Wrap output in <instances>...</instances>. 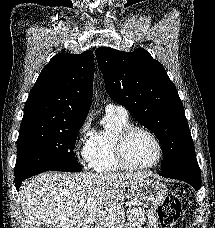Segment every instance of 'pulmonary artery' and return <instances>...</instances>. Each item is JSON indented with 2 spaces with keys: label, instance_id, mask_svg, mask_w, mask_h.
<instances>
[{
  "label": "pulmonary artery",
  "instance_id": "obj_1",
  "mask_svg": "<svg viewBox=\"0 0 215 228\" xmlns=\"http://www.w3.org/2000/svg\"><path fill=\"white\" fill-rule=\"evenodd\" d=\"M110 111H119V112L127 114V110L125 107L120 106V105H115V104L106 105V112H110Z\"/></svg>",
  "mask_w": 215,
  "mask_h": 228
}]
</instances>
